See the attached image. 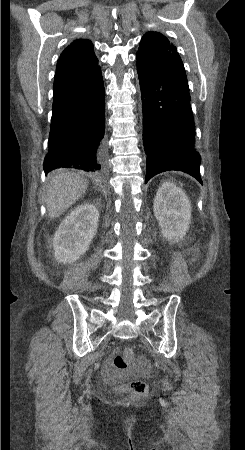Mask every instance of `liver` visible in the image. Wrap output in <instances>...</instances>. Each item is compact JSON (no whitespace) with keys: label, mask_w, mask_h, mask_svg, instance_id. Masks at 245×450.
<instances>
[{"label":"liver","mask_w":245,"mask_h":450,"mask_svg":"<svg viewBox=\"0 0 245 450\" xmlns=\"http://www.w3.org/2000/svg\"><path fill=\"white\" fill-rule=\"evenodd\" d=\"M87 189V181L79 174L57 171L48 180L45 203L48 217L53 219L63 214Z\"/></svg>","instance_id":"6515ba94"}]
</instances>
